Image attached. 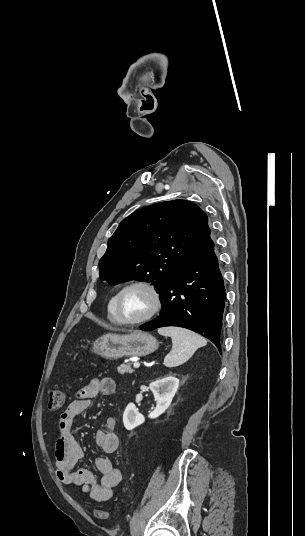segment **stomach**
<instances>
[{"label":"stomach","mask_w":305,"mask_h":536,"mask_svg":"<svg viewBox=\"0 0 305 536\" xmlns=\"http://www.w3.org/2000/svg\"><path fill=\"white\" fill-rule=\"evenodd\" d=\"M159 342L147 332H132V334H105L95 340L92 348L94 354H99L106 360L131 358V356H148L158 350Z\"/></svg>","instance_id":"stomach-1"}]
</instances>
